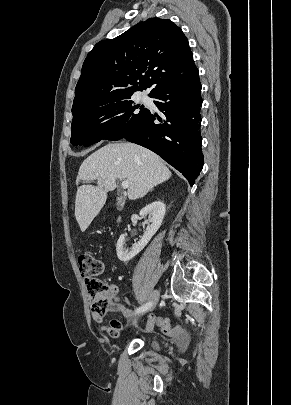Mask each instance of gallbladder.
Segmentation results:
<instances>
[{
	"instance_id": "1",
	"label": "gallbladder",
	"mask_w": 291,
	"mask_h": 405,
	"mask_svg": "<svg viewBox=\"0 0 291 405\" xmlns=\"http://www.w3.org/2000/svg\"><path fill=\"white\" fill-rule=\"evenodd\" d=\"M116 206L118 209H121L124 206V200L122 198H118Z\"/></svg>"
}]
</instances>
